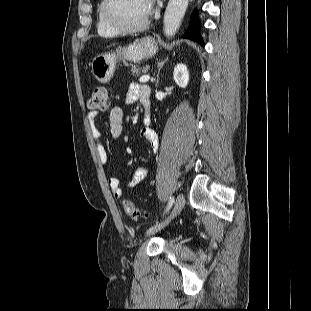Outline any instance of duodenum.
<instances>
[{"instance_id":"duodenum-1","label":"duodenum","mask_w":311,"mask_h":311,"mask_svg":"<svg viewBox=\"0 0 311 311\" xmlns=\"http://www.w3.org/2000/svg\"><path fill=\"white\" fill-rule=\"evenodd\" d=\"M144 105H145L146 108L148 107V105L146 103Z\"/></svg>"}]
</instances>
